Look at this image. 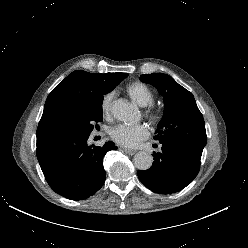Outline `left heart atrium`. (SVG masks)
Listing matches in <instances>:
<instances>
[{
  "mask_svg": "<svg viewBox=\"0 0 248 248\" xmlns=\"http://www.w3.org/2000/svg\"><path fill=\"white\" fill-rule=\"evenodd\" d=\"M149 136V129L144 124H118L111 130L112 139L125 147H136Z\"/></svg>",
  "mask_w": 248,
  "mask_h": 248,
  "instance_id": "1",
  "label": "left heart atrium"
}]
</instances>
